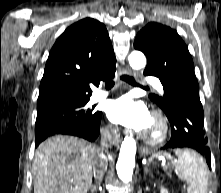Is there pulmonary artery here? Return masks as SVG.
Returning a JSON list of instances; mask_svg holds the SVG:
<instances>
[{"label":"pulmonary artery","instance_id":"obj_1","mask_svg":"<svg viewBox=\"0 0 221 193\" xmlns=\"http://www.w3.org/2000/svg\"><path fill=\"white\" fill-rule=\"evenodd\" d=\"M146 82L150 83L152 86H154L159 92L163 93V86L159 79L155 77H146ZM109 92L106 90H97L92 95V101H100L105 99L108 96Z\"/></svg>","mask_w":221,"mask_h":193}]
</instances>
